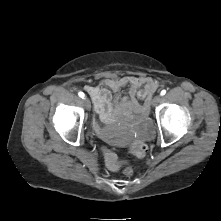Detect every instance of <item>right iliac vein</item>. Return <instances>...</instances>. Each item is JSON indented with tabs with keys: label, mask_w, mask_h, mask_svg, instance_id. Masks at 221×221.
Segmentation results:
<instances>
[{
	"label": "right iliac vein",
	"mask_w": 221,
	"mask_h": 221,
	"mask_svg": "<svg viewBox=\"0 0 221 221\" xmlns=\"http://www.w3.org/2000/svg\"><path fill=\"white\" fill-rule=\"evenodd\" d=\"M84 106L86 107L87 110L90 109V101L88 98H84L83 100Z\"/></svg>",
	"instance_id": "right-iliac-vein-1"
}]
</instances>
